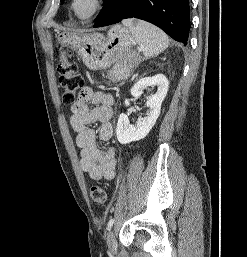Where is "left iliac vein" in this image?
Listing matches in <instances>:
<instances>
[{"instance_id":"obj_1","label":"left iliac vein","mask_w":247,"mask_h":257,"mask_svg":"<svg viewBox=\"0 0 247 257\" xmlns=\"http://www.w3.org/2000/svg\"><path fill=\"white\" fill-rule=\"evenodd\" d=\"M107 245H108V248H109L111 253H116V251H117V242H116V238H115V234H114L113 230H111L108 233Z\"/></svg>"}]
</instances>
